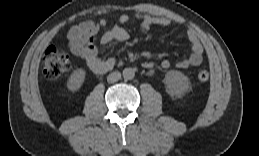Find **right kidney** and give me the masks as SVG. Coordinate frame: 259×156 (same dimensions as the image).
<instances>
[{"instance_id":"right-kidney-1","label":"right kidney","mask_w":259,"mask_h":156,"mask_svg":"<svg viewBox=\"0 0 259 156\" xmlns=\"http://www.w3.org/2000/svg\"><path fill=\"white\" fill-rule=\"evenodd\" d=\"M85 75L84 69L75 70L68 79L67 88L72 92L79 90L85 80Z\"/></svg>"}]
</instances>
